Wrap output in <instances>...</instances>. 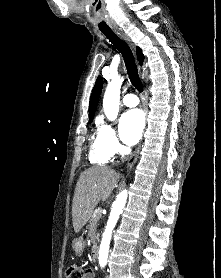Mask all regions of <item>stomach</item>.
Returning <instances> with one entry per match:
<instances>
[{
    "label": "stomach",
    "mask_w": 221,
    "mask_h": 278,
    "mask_svg": "<svg viewBox=\"0 0 221 278\" xmlns=\"http://www.w3.org/2000/svg\"><path fill=\"white\" fill-rule=\"evenodd\" d=\"M85 244L82 238H76L72 242V249L76 254H80L84 251Z\"/></svg>",
    "instance_id": "stomach-1"
}]
</instances>
